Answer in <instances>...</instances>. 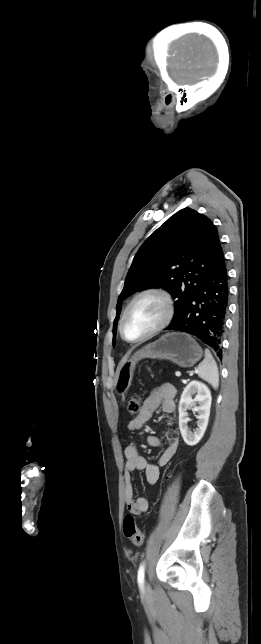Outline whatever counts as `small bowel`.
Segmentation results:
<instances>
[{"instance_id": "1", "label": "small bowel", "mask_w": 261, "mask_h": 644, "mask_svg": "<svg viewBox=\"0 0 261 644\" xmlns=\"http://www.w3.org/2000/svg\"><path fill=\"white\" fill-rule=\"evenodd\" d=\"M175 395L176 389L172 384L165 383L153 389L141 407L139 414L129 421L128 429L136 431L141 429L145 423L151 418L154 411L161 408L165 414H173L175 412ZM147 443L152 447H159L162 440L155 434L147 436ZM178 436L175 431L172 432L169 443L161 453L158 459V465H166L175 455L178 448ZM126 458L124 469V502L127 510L134 514L140 515L148 511L149 504L144 497H136L134 487L132 484V473L134 471H144L146 480L149 484H155L159 479V468L156 465L147 463L146 459L141 456L134 443L129 444L124 451Z\"/></svg>"}]
</instances>
